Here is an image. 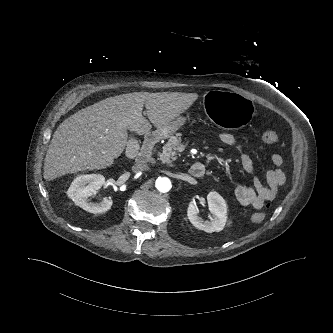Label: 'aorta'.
I'll list each match as a JSON object with an SVG mask.
<instances>
[{"label":"aorta","instance_id":"aorta-1","mask_svg":"<svg viewBox=\"0 0 333 333\" xmlns=\"http://www.w3.org/2000/svg\"><path fill=\"white\" fill-rule=\"evenodd\" d=\"M155 187L159 192L165 193L171 189L172 183L167 177H159L156 179Z\"/></svg>","mask_w":333,"mask_h":333}]
</instances>
